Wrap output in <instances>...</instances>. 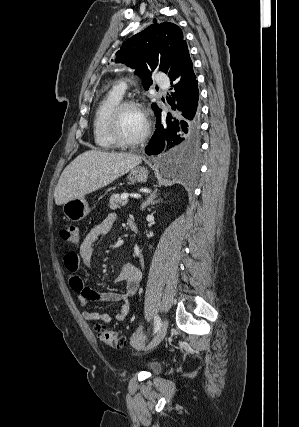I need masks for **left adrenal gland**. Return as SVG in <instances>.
<instances>
[{
	"label": "left adrenal gland",
	"mask_w": 299,
	"mask_h": 427,
	"mask_svg": "<svg viewBox=\"0 0 299 427\" xmlns=\"http://www.w3.org/2000/svg\"><path fill=\"white\" fill-rule=\"evenodd\" d=\"M156 193H157V189L156 190H154L151 194H150V196L147 198V200L145 201V202H143L142 203V205H141V210H144V208H146L148 205H150V204H155V203H157V202H160V200H156L155 201V198H156Z\"/></svg>",
	"instance_id": "a2214340"
}]
</instances>
